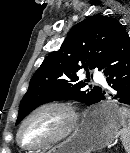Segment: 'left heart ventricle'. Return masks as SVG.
<instances>
[{
  "mask_svg": "<svg viewBox=\"0 0 130 153\" xmlns=\"http://www.w3.org/2000/svg\"><path fill=\"white\" fill-rule=\"evenodd\" d=\"M67 124L66 114L59 109L37 113L25 125L21 140L26 145H38L57 136Z\"/></svg>",
  "mask_w": 130,
  "mask_h": 153,
  "instance_id": "1",
  "label": "left heart ventricle"
}]
</instances>
